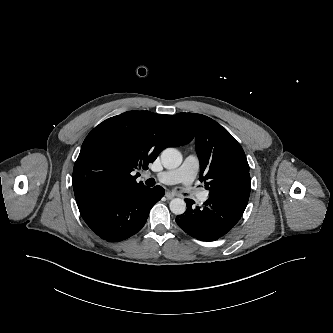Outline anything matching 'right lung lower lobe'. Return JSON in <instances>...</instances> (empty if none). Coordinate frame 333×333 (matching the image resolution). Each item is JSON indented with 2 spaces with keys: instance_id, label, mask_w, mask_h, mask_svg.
I'll list each match as a JSON object with an SVG mask.
<instances>
[{
  "instance_id": "1",
  "label": "right lung lower lobe",
  "mask_w": 333,
  "mask_h": 333,
  "mask_svg": "<svg viewBox=\"0 0 333 333\" xmlns=\"http://www.w3.org/2000/svg\"><path fill=\"white\" fill-rule=\"evenodd\" d=\"M164 193L160 186L128 194L95 192L77 198L76 202L87 225L101 238L115 242L136 234Z\"/></svg>"
}]
</instances>
